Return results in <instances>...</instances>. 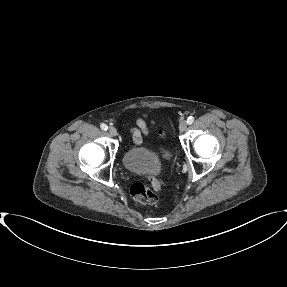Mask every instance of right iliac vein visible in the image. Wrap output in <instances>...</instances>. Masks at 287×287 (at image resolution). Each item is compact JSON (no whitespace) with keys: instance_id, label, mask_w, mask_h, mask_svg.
I'll list each match as a JSON object with an SVG mask.
<instances>
[{"instance_id":"obj_1","label":"right iliac vein","mask_w":287,"mask_h":287,"mask_svg":"<svg viewBox=\"0 0 287 287\" xmlns=\"http://www.w3.org/2000/svg\"><path fill=\"white\" fill-rule=\"evenodd\" d=\"M108 133L111 135V136H116L117 135V130H116V128H114V127H109V129H108Z\"/></svg>"}]
</instances>
